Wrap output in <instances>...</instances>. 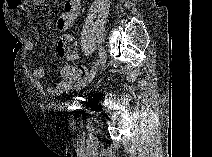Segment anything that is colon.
Segmentation results:
<instances>
[{"mask_svg":"<svg viewBox=\"0 0 212 157\" xmlns=\"http://www.w3.org/2000/svg\"><path fill=\"white\" fill-rule=\"evenodd\" d=\"M57 54L63 60L72 63H78L80 60L77 43L75 38L70 34L62 35L57 42ZM86 73L85 67L78 65L76 74L78 77L84 76Z\"/></svg>","mask_w":212,"mask_h":157,"instance_id":"5ec220e1","label":"colon"}]
</instances>
